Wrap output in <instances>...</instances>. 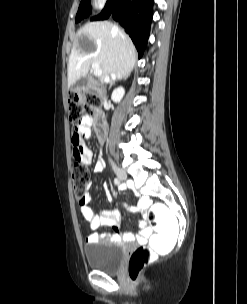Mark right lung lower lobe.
<instances>
[{
	"label": "right lung lower lobe",
	"mask_w": 247,
	"mask_h": 304,
	"mask_svg": "<svg viewBox=\"0 0 247 304\" xmlns=\"http://www.w3.org/2000/svg\"><path fill=\"white\" fill-rule=\"evenodd\" d=\"M154 0H107L102 12L91 20H106L110 16L124 27L142 57L150 33Z\"/></svg>",
	"instance_id": "1"
}]
</instances>
